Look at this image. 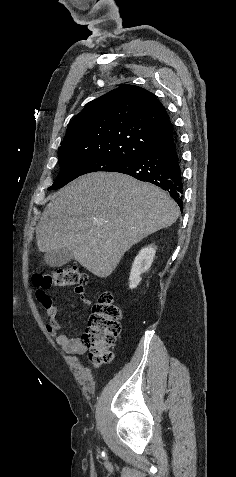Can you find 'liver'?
Here are the masks:
<instances>
[{"mask_svg": "<svg viewBox=\"0 0 236 477\" xmlns=\"http://www.w3.org/2000/svg\"><path fill=\"white\" fill-rule=\"evenodd\" d=\"M178 217L176 203L160 188L121 173H90L54 194L36 227L37 246L46 253L66 248L106 278L134 244Z\"/></svg>", "mask_w": 236, "mask_h": 477, "instance_id": "1", "label": "liver"}]
</instances>
